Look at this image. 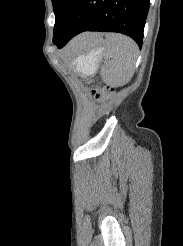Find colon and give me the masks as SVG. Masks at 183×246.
Wrapping results in <instances>:
<instances>
[{
  "instance_id": "obj_1",
  "label": "colon",
  "mask_w": 183,
  "mask_h": 246,
  "mask_svg": "<svg viewBox=\"0 0 183 246\" xmlns=\"http://www.w3.org/2000/svg\"><path fill=\"white\" fill-rule=\"evenodd\" d=\"M110 91L111 89L108 87L93 89L92 96L97 100H103L109 95Z\"/></svg>"
}]
</instances>
